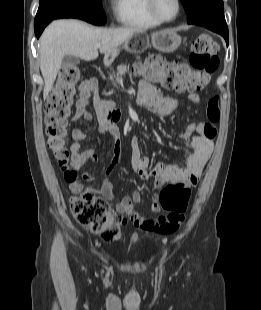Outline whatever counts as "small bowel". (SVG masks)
I'll list each match as a JSON object with an SVG mask.
<instances>
[{
    "mask_svg": "<svg viewBox=\"0 0 261 310\" xmlns=\"http://www.w3.org/2000/svg\"><path fill=\"white\" fill-rule=\"evenodd\" d=\"M79 89L80 93L74 120L89 121L92 116L88 111V105L91 95L97 91V85L94 80H87L81 83ZM188 99L193 104H198L200 102V96L195 92L190 93ZM139 102L141 104L153 106L155 110L162 115L170 114L178 105L177 99L165 96L162 90L148 81H142L140 83ZM106 104H111V102L100 101L98 103L99 110H102ZM197 126L198 125L195 123H188L181 133V138L185 141H189L191 147V153L186 157L184 164L181 165L159 163L152 170H148L150 159L143 155L138 139L132 138L131 164L134 171L144 181L152 179L154 188H158L164 183L177 180L190 182L196 185L213 149V139L203 136L198 131ZM100 131L109 133L114 137L112 159L106 169V175L110 176L119 162L120 141L116 136L115 128L105 121H101ZM195 132H197V134H194ZM72 137L74 139L70 147L72 170H80L88 161L96 162L98 157L95 151L93 149H83L81 145V141L86 139L87 133L81 128H75L72 132ZM83 177L88 181H95L88 171L84 172ZM70 189L73 192H81L83 188L79 183H70ZM98 192L108 200H115L113 187L108 178H104L101 181V188ZM140 200L141 195L137 191L133 192L130 196L122 198L116 204V214H127L136 227L146 230L143 225L153 220L141 216L134 209V204L139 203ZM151 209L153 212H158L160 210L155 201Z\"/></svg>",
    "mask_w": 261,
    "mask_h": 310,
    "instance_id": "small-bowel-1",
    "label": "small bowel"
}]
</instances>
